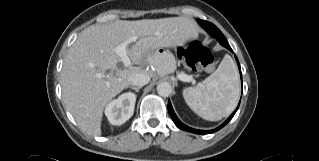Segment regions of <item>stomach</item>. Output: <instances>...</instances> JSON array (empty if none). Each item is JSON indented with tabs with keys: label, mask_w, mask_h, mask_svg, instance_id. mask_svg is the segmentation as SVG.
Masks as SVG:
<instances>
[{
	"label": "stomach",
	"mask_w": 319,
	"mask_h": 161,
	"mask_svg": "<svg viewBox=\"0 0 319 161\" xmlns=\"http://www.w3.org/2000/svg\"><path fill=\"white\" fill-rule=\"evenodd\" d=\"M149 57L163 74L173 73L176 70V59L169 50L157 48L149 53Z\"/></svg>",
	"instance_id": "0dacf381"
}]
</instances>
